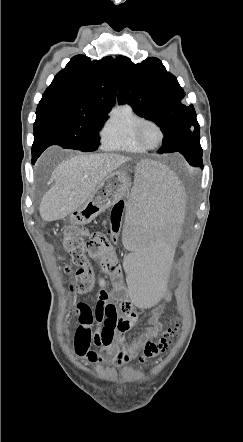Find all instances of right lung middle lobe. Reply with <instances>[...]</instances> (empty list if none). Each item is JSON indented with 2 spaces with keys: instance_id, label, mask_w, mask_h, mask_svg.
<instances>
[{
  "instance_id": "right-lung-middle-lobe-1",
  "label": "right lung middle lobe",
  "mask_w": 243,
  "mask_h": 442,
  "mask_svg": "<svg viewBox=\"0 0 243 442\" xmlns=\"http://www.w3.org/2000/svg\"><path fill=\"white\" fill-rule=\"evenodd\" d=\"M106 114L74 110L54 100H40L32 147L60 145L83 152L95 151L100 142L98 131L104 125Z\"/></svg>"
}]
</instances>
